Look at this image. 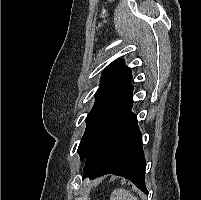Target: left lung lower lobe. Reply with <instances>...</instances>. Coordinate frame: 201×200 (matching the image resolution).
<instances>
[{"label": "left lung lower lobe", "instance_id": "obj_1", "mask_svg": "<svg viewBox=\"0 0 201 200\" xmlns=\"http://www.w3.org/2000/svg\"><path fill=\"white\" fill-rule=\"evenodd\" d=\"M132 92L107 116L90 141L82 158L84 177L114 174L133 182L148 194L145 186L146 161L137 117L131 113Z\"/></svg>", "mask_w": 201, "mask_h": 200}]
</instances>
